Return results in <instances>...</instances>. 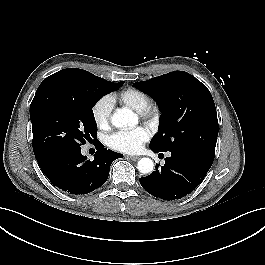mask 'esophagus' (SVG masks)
Here are the masks:
<instances>
[{
    "label": "esophagus",
    "instance_id": "1",
    "mask_svg": "<svg viewBox=\"0 0 265 265\" xmlns=\"http://www.w3.org/2000/svg\"><path fill=\"white\" fill-rule=\"evenodd\" d=\"M127 158L132 160V161H137L140 159V156H127Z\"/></svg>",
    "mask_w": 265,
    "mask_h": 265
}]
</instances>
